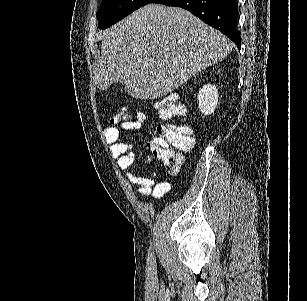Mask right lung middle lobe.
<instances>
[{
  "instance_id": "dd1d6c3e",
  "label": "right lung middle lobe",
  "mask_w": 307,
  "mask_h": 301,
  "mask_svg": "<svg viewBox=\"0 0 307 301\" xmlns=\"http://www.w3.org/2000/svg\"><path fill=\"white\" fill-rule=\"evenodd\" d=\"M153 0H102L96 13L98 27L105 29Z\"/></svg>"
}]
</instances>
